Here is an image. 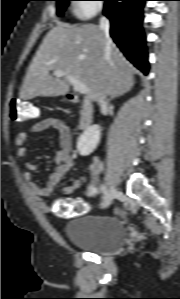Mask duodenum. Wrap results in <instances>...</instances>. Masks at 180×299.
<instances>
[{
  "label": "duodenum",
  "mask_w": 180,
  "mask_h": 299,
  "mask_svg": "<svg viewBox=\"0 0 180 299\" xmlns=\"http://www.w3.org/2000/svg\"><path fill=\"white\" fill-rule=\"evenodd\" d=\"M68 98L73 101L81 104V112L79 118V126L81 129H87L93 119V107L88 100H81L73 94H68Z\"/></svg>",
  "instance_id": "410a0bca"
}]
</instances>
